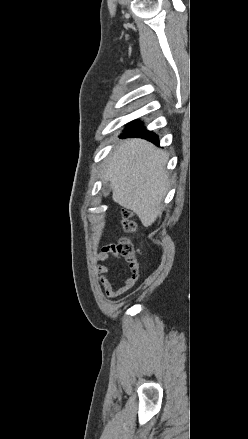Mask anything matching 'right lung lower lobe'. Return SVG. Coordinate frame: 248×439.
<instances>
[{"label":"right lung lower lobe","mask_w":248,"mask_h":439,"mask_svg":"<svg viewBox=\"0 0 248 439\" xmlns=\"http://www.w3.org/2000/svg\"><path fill=\"white\" fill-rule=\"evenodd\" d=\"M123 137H142L145 138L153 143L158 144V136L154 133L147 131L142 124H139L138 122H131L130 125L126 128L124 133L122 134Z\"/></svg>","instance_id":"obj_1"}]
</instances>
